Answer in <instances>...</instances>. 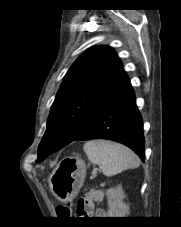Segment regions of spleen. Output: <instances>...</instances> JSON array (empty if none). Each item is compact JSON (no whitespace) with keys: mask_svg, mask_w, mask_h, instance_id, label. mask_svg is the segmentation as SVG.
<instances>
[{"mask_svg":"<svg viewBox=\"0 0 181 227\" xmlns=\"http://www.w3.org/2000/svg\"><path fill=\"white\" fill-rule=\"evenodd\" d=\"M83 150L92 164L100 166L105 176H115L140 165L138 156L126 146L108 140H91Z\"/></svg>","mask_w":181,"mask_h":227,"instance_id":"obj_1","label":"spleen"}]
</instances>
